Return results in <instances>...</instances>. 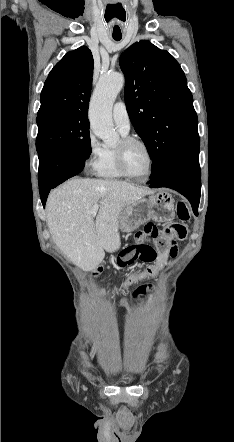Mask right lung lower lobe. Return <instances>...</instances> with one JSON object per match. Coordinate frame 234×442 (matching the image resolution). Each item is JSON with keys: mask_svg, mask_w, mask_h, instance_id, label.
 <instances>
[{"mask_svg": "<svg viewBox=\"0 0 234 442\" xmlns=\"http://www.w3.org/2000/svg\"><path fill=\"white\" fill-rule=\"evenodd\" d=\"M39 156V192L43 207L49 191L70 177L80 173L85 160L79 158L72 150H45Z\"/></svg>", "mask_w": 234, "mask_h": 442, "instance_id": "right-lung-lower-lobe-1", "label": "right lung lower lobe"}]
</instances>
